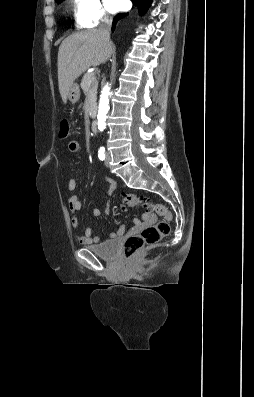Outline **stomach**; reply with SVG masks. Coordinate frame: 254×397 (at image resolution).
I'll return each mask as SVG.
<instances>
[{"mask_svg":"<svg viewBox=\"0 0 254 397\" xmlns=\"http://www.w3.org/2000/svg\"><path fill=\"white\" fill-rule=\"evenodd\" d=\"M67 99L71 103H76L80 99V88L77 83H72L68 90Z\"/></svg>","mask_w":254,"mask_h":397,"instance_id":"obj_1","label":"stomach"}]
</instances>
